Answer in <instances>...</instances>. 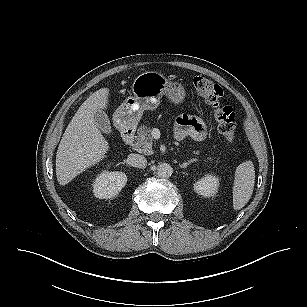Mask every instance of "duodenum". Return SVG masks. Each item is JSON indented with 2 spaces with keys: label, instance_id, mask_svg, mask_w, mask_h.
Segmentation results:
<instances>
[{
  "label": "duodenum",
  "instance_id": "410a0bca",
  "mask_svg": "<svg viewBox=\"0 0 307 307\" xmlns=\"http://www.w3.org/2000/svg\"><path fill=\"white\" fill-rule=\"evenodd\" d=\"M135 139V131L132 129L125 130L123 133V141L126 145H131Z\"/></svg>",
  "mask_w": 307,
  "mask_h": 307
}]
</instances>
